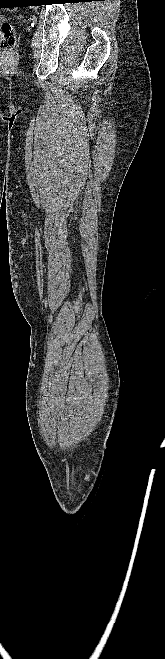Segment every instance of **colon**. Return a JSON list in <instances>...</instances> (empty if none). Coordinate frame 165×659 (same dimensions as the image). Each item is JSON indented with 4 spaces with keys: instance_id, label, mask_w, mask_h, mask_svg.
Masks as SVG:
<instances>
[{
    "instance_id": "colon-1",
    "label": "colon",
    "mask_w": 165,
    "mask_h": 659,
    "mask_svg": "<svg viewBox=\"0 0 165 659\" xmlns=\"http://www.w3.org/2000/svg\"><path fill=\"white\" fill-rule=\"evenodd\" d=\"M15 44V31L8 23L0 26V49L10 50Z\"/></svg>"
}]
</instances>
